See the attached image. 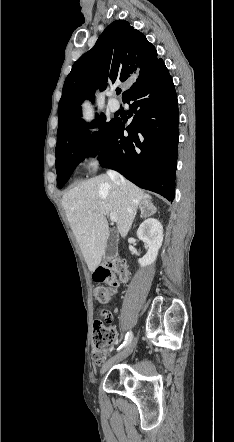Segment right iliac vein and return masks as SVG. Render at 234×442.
Listing matches in <instances>:
<instances>
[{
    "label": "right iliac vein",
    "instance_id": "63e3f726",
    "mask_svg": "<svg viewBox=\"0 0 234 442\" xmlns=\"http://www.w3.org/2000/svg\"><path fill=\"white\" fill-rule=\"evenodd\" d=\"M134 347H135V340L130 342L124 349L118 352L115 356L110 358L101 368V374H104L115 363L128 357L132 353Z\"/></svg>",
    "mask_w": 234,
    "mask_h": 442
}]
</instances>
